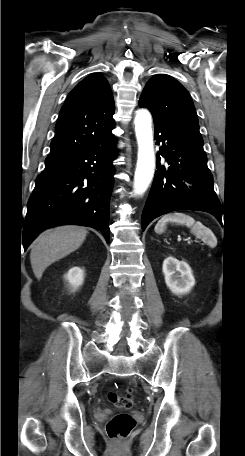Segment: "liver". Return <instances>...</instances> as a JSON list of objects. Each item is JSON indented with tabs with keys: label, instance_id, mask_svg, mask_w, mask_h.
<instances>
[{
	"label": "liver",
	"instance_id": "liver-1",
	"mask_svg": "<svg viewBox=\"0 0 245 456\" xmlns=\"http://www.w3.org/2000/svg\"><path fill=\"white\" fill-rule=\"evenodd\" d=\"M87 233L86 228L75 225L60 226L41 233L30 252L35 277L41 279L49 265L77 250L86 239Z\"/></svg>",
	"mask_w": 245,
	"mask_h": 456
}]
</instances>
